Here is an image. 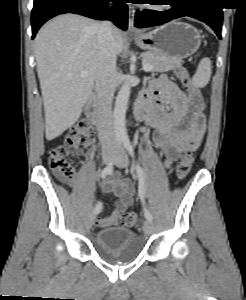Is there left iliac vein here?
I'll return each instance as SVG.
<instances>
[{
    "label": "left iliac vein",
    "mask_w": 246,
    "mask_h": 300,
    "mask_svg": "<svg viewBox=\"0 0 246 300\" xmlns=\"http://www.w3.org/2000/svg\"><path fill=\"white\" fill-rule=\"evenodd\" d=\"M115 164L117 167L119 168H125L128 166L129 164V160H128V157H127V154L125 153L124 150H121L118 154V156L116 157L115 159ZM143 232L146 234V235H150L152 234L153 230H154V226H153V223L151 220H148L146 219L144 222H143Z\"/></svg>",
    "instance_id": "left-iliac-vein-1"
}]
</instances>
